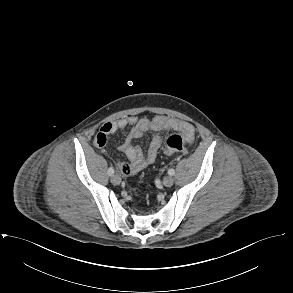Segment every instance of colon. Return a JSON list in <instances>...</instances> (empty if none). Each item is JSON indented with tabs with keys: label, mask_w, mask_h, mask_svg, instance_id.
Returning <instances> with one entry per match:
<instances>
[{
	"label": "colon",
	"mask_w": 293,
	"mask_h": 293,
	"mask_svg": "<svg viewBox=\"0 0 293 293\" xmlns=\"http://www.w3.org/2000/svg\"><path fill=\"white\" fill-rule=\"evenodd\" d=\"M189 143L179 134H173L167 138L162 146V151L167 155L186 154Z\"/></svg>",
	"instance_id": "5ec220e1"
}]
</instances>
